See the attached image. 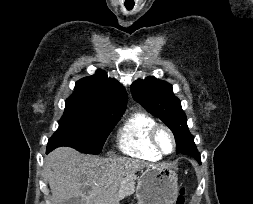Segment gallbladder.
I'll use <instances>...</instances> for the list:
<instances>
[{"instance_id": "obj_1", "label": "gallbladder", "mask_w": 253, "mask_h": 204, "mask_svg": "<svg viewBox=\"0 0 253 204\" xmlns=\"http://www.w3.org/2000/svg\"><path fill=\"white\" fill-rule=\"evenodd\" d=\"M63 204H80V198H72L68 201H65Z\"/></svg>"}]
</instances>
